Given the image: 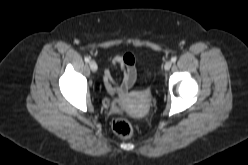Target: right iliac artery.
Returning a JSON list of instances; mask_svg holds the SVG:
<instances>
[{
  "label": "right iliac artery",
  "instance_id": "right-iliac-artery-1",
  "mask_svg": "<svg viewBox=\"0 0 248 165\" xmlns=\"http://www.w3.org/2000/svg\"><path fill=\"white\" fill-rule=\"evenodd\" d=\"M90 61V58H88V57H85V62H89Z\"/></svg>",
  "mask_w": 248,
  "mask_h": 165
}]
</instances>
